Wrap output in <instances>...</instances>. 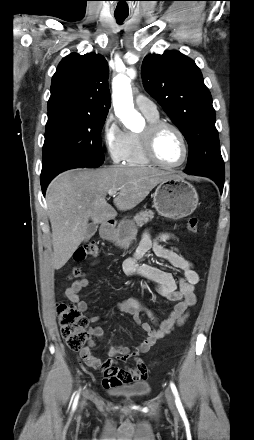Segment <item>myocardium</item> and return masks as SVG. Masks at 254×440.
Segmentation results:
<instances>
[{
    "instance_id": "1",
    "label": "myocardium",
    "mask_w": 254,
    "mask_h": 440,
    "mask_svg": "<svg viewBox=\"0 0 254 440\" xmlns=\"http://www.w3.org/2000/svg\"><path fill=\"white\" fill-rule=\"evenodd\" d=\"M166 128L173 130L179 136L183 145V158L177 164L164 163L157 154V150H156L157 138L160 132ZM141 137H142V145H143L144 153L148 158V160L155 165L168 169L178 168L181 167L188 159L189 145L186 136L178 126H176L171 122L165 120H157L154 122H149L148 125L145 127V129L141 132Z\"/></svg>"
}]
</instances>
